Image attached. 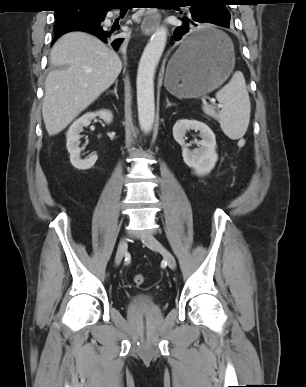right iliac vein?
Wrapping results in <instances>:
<instances>
[{
    "label": "right iliac vein",
    "instance_id": "obj_1",
    "mask_svg": "<svg viewBox=\"0 0 306 387\" xmlns=\"http://www.w3.org/2000/svg\"><path fill=\"white\" fill-rule=\"evenodd\" d=\"M126 250H127V242H126V239L123 237L120 239L119 241V244H118V248H117V253H116V257H115V263L116 265H119L126 253Z\"/></svg>",
    "mask_w": 306,
    "mask_h": 387
}]
</instances>
